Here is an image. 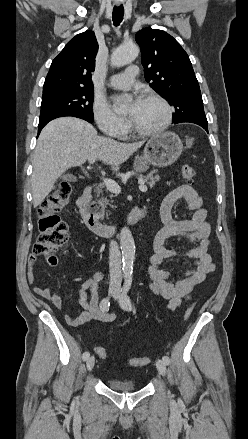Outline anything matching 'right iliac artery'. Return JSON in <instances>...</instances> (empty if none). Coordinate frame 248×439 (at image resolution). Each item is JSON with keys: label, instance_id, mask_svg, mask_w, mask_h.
Returning a JSON list of instances; mask_svg holds the SVG:
<instances>
[{"label": "right iliac artery", "instance_id": "obj_1", "mask_svg": "<svg viewBox=\"0 0 248 439\" xmlns=\"http://www.w3.org/2000/svg\"><path fill=\"white\" fill-rule=\"evenodd\" d=\"M109 306H110V301L109 298H104L101 302H100V309L103 312H108L109 310ZM90 353L88 351L84 352L82 355V359L85 361L89 358Z\"/></svg>", "mask_w": 248, "mask_h": 439}]
</instances>
